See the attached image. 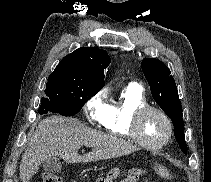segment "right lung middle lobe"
<instances>
[{
    "instance_id": "1",
    "label": "right lung middle lobe",
    "mask_w": 211,
    "mask_h": 182,
    "mask_svg": "<svg viewBox=\"0 0 211 182\" xmlns=\"http://www.w3.org/2000/svg\"><path fill=\"white\" fill-rule=\"evenodd\" d=\"M101 89L102 87L77 81L67 75L50 74L45 90L46 97L41 100V110L47 113L52 108L63 116H73Z\"/></svg>"
}]
</instances>
